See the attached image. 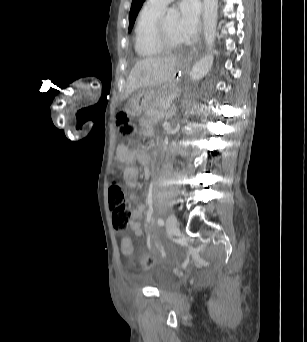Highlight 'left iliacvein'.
<instances>
[{
  "mask_svg": "<svg viewBox=\"0 0 307 342\" xmlns=\"http://www.w3.org/2000/svg\"><path fill=\"white\" fill-rule=\"evenodd\" d=\"M166 229L170 236H174L179 230L178 221L174 214L168 216L166 220Z\"/></svg>",
  "mask_w": 307,
  "mask_h": 342,
  "instance_id": "1",
  "label": "left iliac vein"
}]
</instances>
